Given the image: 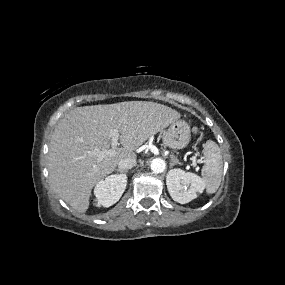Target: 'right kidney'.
<instances>
[{"label": "right kidney", "instance_id": "1", "mask_svg": "<svg viewBox=\"0 0 285 285\" xmlns=\"http://www.w3.org/2000/svg\"><path fill=\"white\" fill-rule=\"evenodd\" d=\"M126 184L125 174L110 175L101 180L94 188L97 206L109 207L115 204L125 191Z\"/></svg>", "mask_w": 285, "mask_h": 285}]
</instances>
